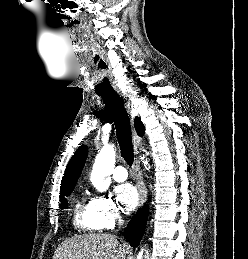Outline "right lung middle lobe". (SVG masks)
<instances>
[{
  "instance_id": "1",
  "label": "right lung middle lobe",
  "mask_w": 248,
  "mask_h": 259,
  "mask_svg": "<svg viewBox=\"0 0 248 259\" xmlns=\"http://www.w3.org/2000/svg\"><path fill=\"white\" fill-rule=\"evenodd\" d=\"M71 192H72V189L60 192V194H61L60 195V202H61V206H62L63 209L66 208L67 205H68L65 196H69Z\"/></svg>"
}]
</instances>
